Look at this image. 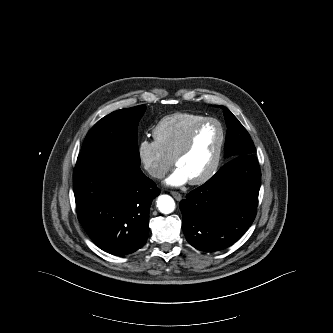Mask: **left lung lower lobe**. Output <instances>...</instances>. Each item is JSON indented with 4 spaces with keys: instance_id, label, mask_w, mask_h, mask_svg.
I'll return each mask as SVG.
<instances>
[{
    "instance_id": "left-lung-lower-lobe-1",
    "label": "left lung lower lobe",
    "mask_w": 333,
    "mask_h": 333,
    "mask_svg": "<svg viewBox=\"0 0 333 333\" xmlns=\"http://www.w3.org/2000/svg\"><path fill=\"white\" fill-rule=\"evenodd\" d=\"M261 172L253 154L231 158L180 202L182 229L196 249L213 252L236 242L256 216Z\"/></svg>"
}]
</instances>
